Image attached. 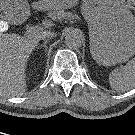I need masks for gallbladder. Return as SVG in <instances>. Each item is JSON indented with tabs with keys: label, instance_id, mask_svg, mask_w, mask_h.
<instances>
[{
	"label": "gallbladder",
	"instance_id": "obj_1",
	"mask_svg": "<svg viewBox=\"0 0 135 135\" xmlns=\"http://www.w3.org/2000/svg\"><path fill=\"white\" fill-rule=\"evenodd\" d=\"M0 4L3 7L5 5V0H0ZM0 19H2L1 14H0Z\"/></svg>",
	"mask_w": 135,
	"mask_h": 135
}]
</instances>
